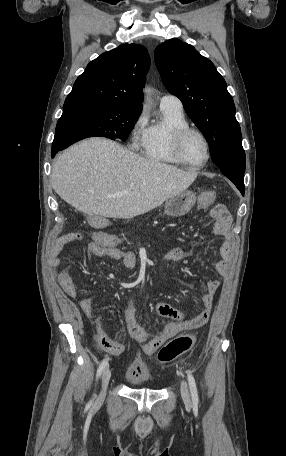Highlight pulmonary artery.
<instances>
[{
    "mask_svg": "<svg viewBox=\"0 0 286 456\" xmlns=\"http://www.w3.org/2000/svg\"><path fill=\"white\" fill-rule=\"evenodd\" d=\"M160 107L169 108L176 111H183L181 100L172 94H165L160 99Z\"/></svg>",
    "mask_w": 286,
    "mask_h": 456,
    "instance_id": "1",
    "label": "pulmonary artery"
}]
</instances>
